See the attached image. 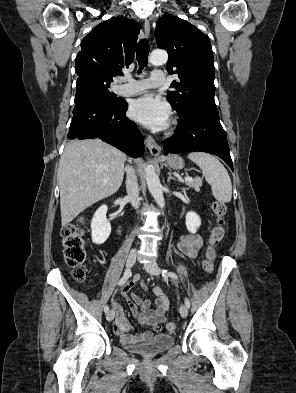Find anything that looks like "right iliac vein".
Returning <instances> with one entry per match:
<instances>
[{
    "mask_svg": "<svg viewBox=\"0 0 296 393\" xmlns=\"http://www.w3.org/2000/svg\"><path fill=\"white\" fill-rule=\"evenodd\" d=\"M136 256H137V251L135 249L131 250L126 261L127 269H130L134 265L136 261ZM114 315H115L114 310H110L106 314L107 321L111 322L114 319Z\"/></svg>",
    "mask_w": 296,
    "mask_h": 393,
    "instance_id": "right-iliac-vein-1",
    "label": "right iliac vein"
}]
</instances>
